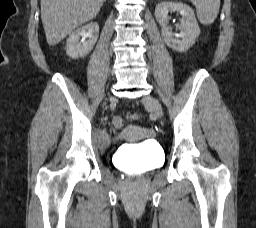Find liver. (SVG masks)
<instances>
[{
	"instance_id": "6515ba94",
	"label": "liver",
	"mask_w": 256,
	"mask_h": 228,
	"mask_svg": "<svg viewBox=\"0 0 256 228\" xmlns=\"http://www.w3.org/2000/svg\"><path fill=\"white\" fill-rule=\"evenodd\" d=\"M105 0H41L47 43L54 46L75 28L96 17Z\"/></svg>"
}]
</instances>
